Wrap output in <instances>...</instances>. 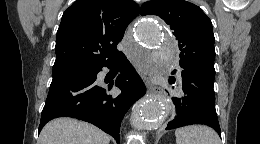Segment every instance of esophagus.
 <instances>
[{
    "label": "esophagus",
    "mask_w": 260,
    "mask_h": 144,
    "mask_svg": "<svg viewBox=\"0 0 260 144\" xmlns=\"http://www.w3.org/2000/svg\"><path fill=\"white\" fill-rule=\"evenodd\" d=\"M139 72H140L141 77L144 80H146V82H147L148 93L149 94H157V93H159L160 92V88L157 85H155V84H153L151 82L152 74L147 72V71H144V70H139Z\"/></svg>",
    "instance_id": "esophagus-1"
}]
</instances>
